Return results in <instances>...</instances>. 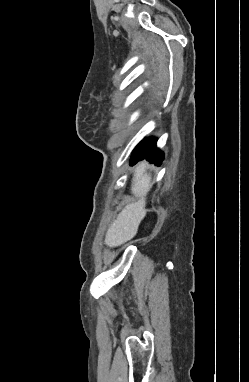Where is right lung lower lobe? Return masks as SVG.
I'll return each instance as SVG.
<instances>
[{
    "mask_svg": "<svg viewBox=\"0 0 249 382\" xmlns=\"http://www.w3.org/2000/svg\"><path fill=\"white\" fill-rule=\"evenodd\" d=\"M163 157V152L156 148V139L148 138L141 142L134 150L130 159V164L133 165L137 161L147 159L151 163L156 162V165H160Z\"/></svg>",
    "mask_w": 249,
    "mask_h": 382,
    "instance_id": "right-lung-lower-lobe-1",
    "label": "right lung lower lobe"
}]
</instances>
